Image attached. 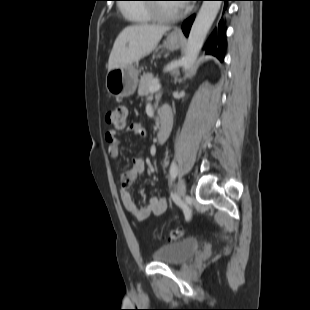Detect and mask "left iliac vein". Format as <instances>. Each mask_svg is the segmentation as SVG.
Masks as SVG:
<instances>
[{"instance_id": "obj_1", "label": "left iliac vein", "mask_w": 310, "mask_h": 310, "mask_svg": "<svg viewBox=\"0 0 310 310\" xmlns=\"http://www.w3.org/2000/svg\"><path fill=\"white\" fill-rule=\"evenodd\" d=\"M177 195L179 198H184L186 195V187H185V183L183 180H179L177 183Z\"/></svg>"}]
</instances>
